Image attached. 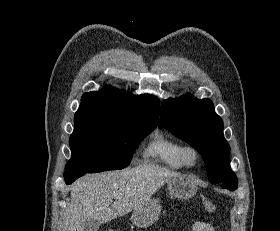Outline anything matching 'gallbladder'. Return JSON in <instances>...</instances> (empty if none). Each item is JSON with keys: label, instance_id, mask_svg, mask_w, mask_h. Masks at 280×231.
<instances>
[{"label": "gallbladder", "instance_id": "bac80fb5", "mask_svg": "<svg viewBox=\"0 0 280 231\" xmlns=\"http://www.w3.org/2000/svg\"><path fill=\"white\" fill-rule=\"evenodd\" d=\"M100 225L101 223H99V221H88V223L84 225L83 231H97Z\"/></svg>", "mask_w": 280, "mask_h": 231}]
</instances>
